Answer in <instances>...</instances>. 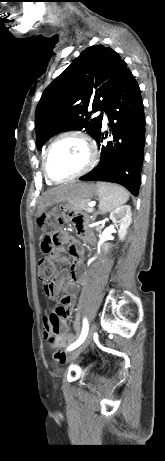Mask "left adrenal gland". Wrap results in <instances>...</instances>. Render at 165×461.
<instances>
[{
	"instance_id": "obj_1",
	"label": "left adrenal gland",
	"mask_w": 165,
	"mask_h": 461,
	"mask_svg": "<svg viewBox=\"0 0 165 461\" xmlns=\"http://www.w3.org/2000/svg\"><path fill=\"white\" fill-rule=\"evenodd\" d=\"M98 214H101V212H100V211L94 212V213H93V216H91V220H92V221H95L96 216H97Z\"/></svg>"
}]
</instances>
